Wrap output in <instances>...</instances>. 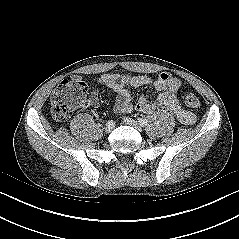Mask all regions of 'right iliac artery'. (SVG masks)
I'll use <instances>...</instances> for the list:
<instances>
[{
    "instance_id": "obj_1",
    "label": "right iliac artery",
    "mask_w": 239,
    "mask_h": 239,
    "mask_svg": "<svg viewBox=\"0 0 239 239\" xmlns=\"http://www.w3.org/2000/svg\"><path fill=\"white\" fill-rule=\"evenodd\" d=\"M107 125L115 126L116 125V120L115 119H107Z\"/></svg>"
}]
</instances>
